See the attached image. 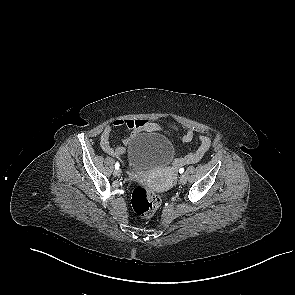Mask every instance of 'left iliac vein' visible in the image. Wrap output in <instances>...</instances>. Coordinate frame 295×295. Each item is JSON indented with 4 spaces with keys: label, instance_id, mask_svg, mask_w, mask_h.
<instances>
[{
    "label": "left iliac vein",
    "instance_id": "1",
    "mask_svg": "<svg viewBox=\"0 0 295 295\" xmlns=\"http://www.w3.org/2000/svg\"><path fill=\"white\" fill-rule=\"evenodd\" d=\"M187 182V177H186V175H181V177H180V183L181 184H185Z\"/></svg>",
    "mask_w": 295,
    "mask_h": 295
}]
</instances>
